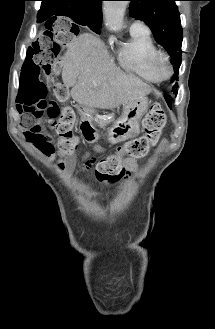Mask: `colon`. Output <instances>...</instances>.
<instances>
[{
  "label": "colon",
  "instance_id": "5ec220e1",
  "mask_svg": "<svg viewBox=\"0 0 215 329\" xmlns=\"http://www.w3.org/2000/svg\"><path fill=\"white\" fill-rule=\"evenodd\" d=\"M38 31H33V38H38L28 49L27 55H20L19 61L24 62L22 73L25 81H18L17 86L21 88L18 98L19 111L22 118H33V126L29 132L40 135L42 127L35 122L42 117L53 121V128L58 135V147L60 152L69 157L72 156L79 143L78 136L73 132L74 112L69 107L60 108L51 97L48 88L51 81H61V74H52L57 71L54 66L62 47L74 49L73 38H78V32H82V25H73V19H66L65 14H52L51 19H45V25H38ZM65 94L64 86H60L57 95ZM166 123V115L160 104H154L149 109L142 122L144 134L127 142L117 153L100 160L91 159L87 165L93 167L96 179L101 183L116 181L124 176L122 160L124 157L142 158L150 147L155 146L160 140L162 129ZM25 129L28 127L24 126ZM38 147L41 151L50 153L52 145L44 140L38 139ZM63 168L65 162L59 161Z\"/></svg>",
  "mask_w": 215,
  "mask_h": 329
}]
</instances>
